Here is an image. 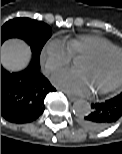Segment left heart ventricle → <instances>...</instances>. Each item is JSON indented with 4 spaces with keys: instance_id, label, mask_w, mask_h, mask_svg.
Listing matches in <instances>:
<instances>
[{
    "instance_id": "1",
    "label": "left heart ventricle",
    "mask_w": 122,
    "mask_h": 154,
    "mask_svg": "<svg viewBox=\"0 0 122 154\" xmlns=\"http://www.w3.org/2000/svg\"><path fill=\"white\" fill-rule=\"evenodd\" d=\"M78 68L85 72L94 91L102 90L113 84L122 73V54L113 52L101 60L82 58Z\"/></svg>"
}]
</instances>
